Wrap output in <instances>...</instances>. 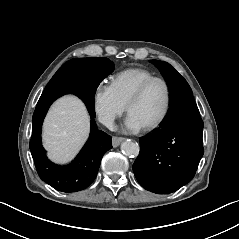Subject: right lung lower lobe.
Instances as JSON below:
<instances>
[{
  "label": "right lung lower lobe",
  "instance_id": "obj_1",
  "mask_svg": "<svg viewBox=\"0 0 239 239\" xmlns=\"http://www.w3.org/2000/svg\"><path fill=\"white\" fill-rule=\"evenodd\" d=\"M67 74L74 83L62 91L40 97L33 114L30 150L39 177L62 192H76L87 188L96 178L100 162L112 148L111 137L97 129L94 117V95L100 82L111 72L98 67L94 61H81L67 68ZM75 94L81 98L91 115V132L87 143L80 153L67 166L52 163L46 156L41 143V129L44 117L50 105L64 94Z\"/></svg>",
  "mask_w": 239,
  "mask_h": 239
}]
</instances>
